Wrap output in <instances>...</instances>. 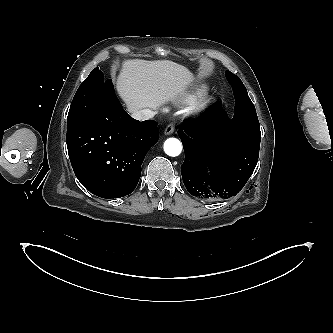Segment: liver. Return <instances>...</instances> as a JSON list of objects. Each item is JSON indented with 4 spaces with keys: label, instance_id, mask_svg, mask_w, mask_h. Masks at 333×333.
<instances>
[{
    "label": "liver",
    "instance_id": "1",
    "mask_svg": "<svg viewBox=\"0 0 333 333\" xmlns=\"http://www.w3.org/2000/svg\"><path fill=\"white\" fill-rule=\"evenodd\" d=\"M194 81L184 66L170 60H126L122 63L116 90L129 112L159 109L183 95Z\"/></svg>",
    "mask_w": 333,
    "mask_h": 333
}]
</instances>
